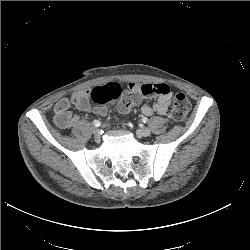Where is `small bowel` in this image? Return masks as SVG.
<instances>
[{
    "label": "small bowel",
    "instance_id": "small-bowel-1",
    "mask_svg": "<svg viewBox=\"0 0 250 250\" xmlns=\"http://www.w3.org/2000/svg\"><path fill=\"white\" fill-rule=\"evenodd\" d=\"M129 89L134 92H139L142 97L153 99V104H144L141 107V112L146 116H151L154 113L165 115L170 106L172 91L167 84H139L135 82L129 83ZM90 90H83L73 94L71 97L61 98L54 106V122L61 129L73 127L78 116L70 111L73 105L77 109L85 112H93L94 114L104 116L107 114V108L102 105L92 106L90 103Z\"/></svg>",
    "mask_w": 250,
    "mask_h": 250
}]
</instances>
